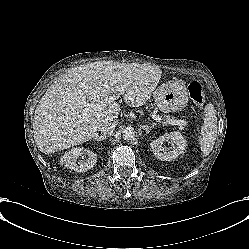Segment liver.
<instances>
[{
  "label": "liver",
  "instance_id": "1",
  "mask_svg": "<svg viewBox=\"0 0 249 249\" xmlns=\"http://www.w3.org/2000/svg\"><path fill=\"white\" fill-rule=\"evenodd\" d=\"M159 79L160 75L112 62L90 63L72 70L47 90L36 107V145L42 152L52 153L97 137L101 123L118 118L121 109L115 100L120 95L128 106L140 107ZM110 97L114 100L109 103ZM87 103L99 108L85 112Z\"/></svg>",
  "mask_w": 249,
  "mask_h": 249
}]
</instances>
